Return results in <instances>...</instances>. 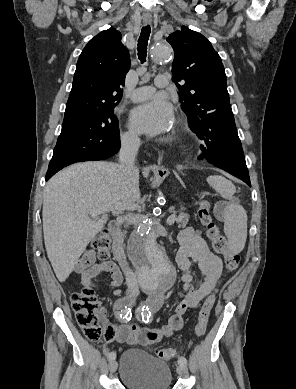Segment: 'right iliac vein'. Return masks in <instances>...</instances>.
Masks as SVG:
<instances>
[{"label": "right iliac vein", "mask_w": 296, "mask_h": 389, "mask_svg": "<svg viewBox=\"0 0 296 389\" xmlns=\"http://www.w3.org/2000/svg\"><path fill=\"white\" fill-rule=\"evenodd\" d=\"M117 369V362L115 361V359H112L109 361V370L110 372H115Z\"/></svg>", "instance_id": "obj_1"}]
</instances>
